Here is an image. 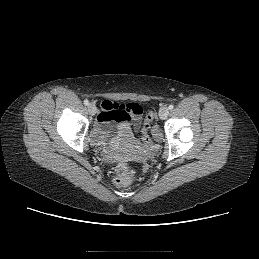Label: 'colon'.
<instances>
[{"label":"colon","mask_w":259,"mask_h":259,"mask_svg":"<svg viewBox=\"0 0 259 259\" xmlns=\"http://www.w3.org/2000/svg\"><path fill=\"white\" fill-rule=\"evenodd\" d=\"M154 120V113L148 112L142 124V140L146 146L152 147V141L149 135L152 123ZM115 184L118 186H126L135 179V171L125 162H119L115 166Z\"/></svg>","instance_id":"1"}]
</instances>
